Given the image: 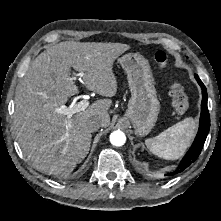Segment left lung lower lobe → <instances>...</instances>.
Instances as JSON below:
<instances>
[{
    "label": "left lung lower lobe",
    "mask_w": 221,
    "mask_h": 221,
    "mask_svg": "<svg viewBox=\"0 0 221 221\" xmlns=\"http://www.w3.org/2000/svg\"><path fill=\"white\" fill-rule=\"evenodd\" d=\"M195 78L202 88V102H201V115H200V123H199V130L196 135V138L186 153V155L183 157L182 161L180 162L179 166L176 170L173 172H170L168 175H175L177 173L182 172L187 167H189L195 160L198 158L199 154L201 153V150L203 148V145L205 143L206 137L209 132L210 127V116L208 112L207 107V92L204 84L198 77V75H195Z\"/></svg>",
    "instance_id": "left-lung-lower-lobe-1"
}]
</instances>
